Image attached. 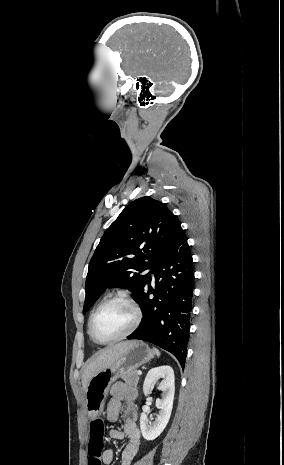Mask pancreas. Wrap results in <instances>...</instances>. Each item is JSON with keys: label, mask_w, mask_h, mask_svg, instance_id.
Listing matches in <instances>:
<instances>
[{"label": "pancreas", "mask_w": 284, "mask_h": 465, "mask_svg": "<svg viewBox=\"0 0 284 465\" xmlns=\"http://www.w3.org/2000/svg\"><path fill=\"white\" fill-rule=\"evenodd\" d=\"M121 379L125 381L128 387H135L137 389L139 375H137V371H128V373H122Z\"/></svg>", "instance_id": "obj_1"}]
</instances>
